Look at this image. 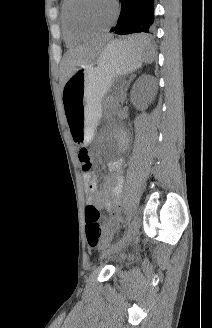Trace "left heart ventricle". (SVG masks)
<instances>
[{"label": "left heart ventricle", "mask_w": 212, "mask_h": 328, "mask_svg": "<svg viewBox=\"0 0 212 328\" xmlns=\"http://www.w3.org/2000/svg\"><path fill=\"white\" fill-rule=\"evenodd\" d=\"M113 13L112 0H82L74 8L75 18L90 27L107 25Z\"/></svg>", "instance_id": "left-heart-ventricle-1"}]
</instances>
